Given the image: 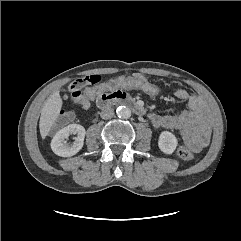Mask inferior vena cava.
<instances>
[{"label": "inferior vena cava", "mask_w": 241, "mask_h": 241, "mask_svg": "<svg viewBox=\"0 0 241 241\" xmlns=\"http://www.w3.org/2000/svg\"><path fill=\"white\" fill-rule=\"evenodd\" d=\"M102 119H111L114 116V110L111 107H106L100 113Z\"/></svg>", "instance_id": "inferior-vena-cava-1"}]
</instances>
